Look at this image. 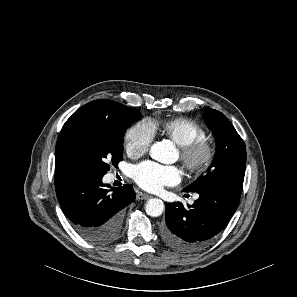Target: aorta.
I'll list each match as a JSON object with an SVG mask.
<instances>
[{
    "label": "aorta",
    "mask_w": 297,
    "mask_h": 297,
    "mask_svg": "<svg viewBox=\"0 0 297 297\" xmlns=\"http://www.w3.org/2000/svg\"><path fill=\"white\" fill-rule=\"evenodd\" d=\"M169 146L164 142H156L151 146L150 155L153 159L167 163L169 157ZM146 213L152 217H158L163 213V201L157 198L148 200L145 206Z\"/></svg>",
    "instance_id": "obj_1"
}]
</instances>
